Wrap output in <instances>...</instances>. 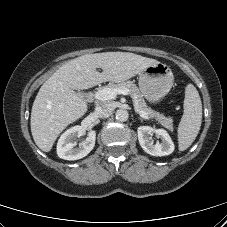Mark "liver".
<instances>
[{"instance_id":"1","label":"liver","mask_w":227,"mask_h":227,"mask_svg":"<svg viewBox=\"0 0 227 227\" xmlns=\"http://www.w3.org/2000/svg\"><path fill=\"white\" fill-rule=\"evenodd\" d=\"M157 63L134 53L104 52L86 54L62 65L41 86L34 100L30 121L34 142L49 152L59 134L87 112V102L74 90L106 81L123 82Z\"/></svg>"}]
</instances>
